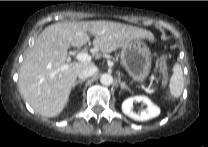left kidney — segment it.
Segmentation results:
<instances>
[{
    "label": "left kidney",
    "instance_id": "5707ae66",
    "mask_svg": "<svg viewBox=\"0 0 208 147\" xmlns=\"http://www.w3.org/2000/svg\"><path fill=\"white\" fill-rule=\"evenodd\" d=\"M139 102L147 106L146 110H142L141 113L137 114L133 111V103ZM122 111L125 115L136 121H147L160 114V108L156 106L148 97L146 96H134L127 98L122 103Z\"/></svg>",
    "mask_w": 208,
    "mask_h": 147
}]
</instances>
